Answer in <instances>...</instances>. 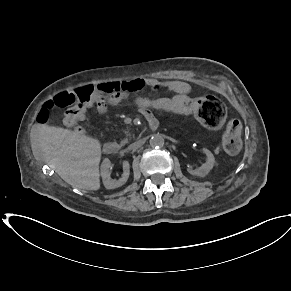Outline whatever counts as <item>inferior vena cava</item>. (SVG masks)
Segmentation results:
<instances>
[{"mask_svg": "<svg viewBox=\"0 0 291 291\" xmlns=\"http://www.w3.org/2000/svg\"><path fill=\"white\" fill-rule=\"evenodd\" d=\"M144 144V140H138L129 145V148L132 150L139 149Z\"/></svg>", "mask_w": 291, "mask_h": 291, "instance_id": "602c4592", "label": "inferior vena cava"}]
</instances>
